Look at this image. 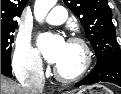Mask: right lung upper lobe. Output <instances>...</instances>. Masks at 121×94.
Segmentation results:
<instances>
[{"instance_id": "1", "label": "right lung upper lobe", "mask_w": 121, "mask_h": 94, "mask_svg": "<svg viewBox=\"0 0 121 94\" xmlns=\"http://www.w3.org/2000/svg\"><path fill=\"white\" fill-rule=\"evenodd\" d=\"M28 0H1V30H14L18 23L15 16H20Z\"/></svg>"}]
</instances>
